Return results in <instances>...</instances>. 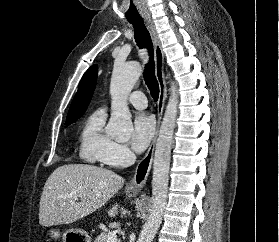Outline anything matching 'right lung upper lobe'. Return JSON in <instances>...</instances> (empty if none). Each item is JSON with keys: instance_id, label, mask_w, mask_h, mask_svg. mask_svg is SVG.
<instances>
[{"instance_id": "right-lung-upper-lobe-1", "label": "right lung upper lobe", "mask_w": 279, "mask_h": 242, "mask_svg": "<svg viewBox=\"0 0 279 242\" xmlns=\"http://www.w3.org/2000/svg\"><path fill=\"white\" fill-rule=\"evenodd\" d=\"M97 79V65L90 67L83 75L78 91L71 103L66 122L76 121L86 110Z\"/></svg>"}]
</instances>
